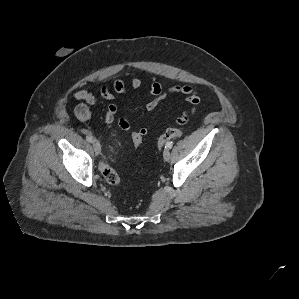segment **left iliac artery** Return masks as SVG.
I'll return each instance as SVG.
<instances>
[{
	"label": "left iliac artery",
	"mask_w": 299,
	"mask_h": 299,
	"mask_svg": "<svg viewBox=\"0 0 299 299\" xmlns=\"http://www.w3.org/2000/svg\"><path fill=\"white\" fill-rule=\"evenodd\" d=\"M173 146L172 142H167L165 148L171 149Z\"/></svg>",
	"instance_id": "1"
}]
</instances>
